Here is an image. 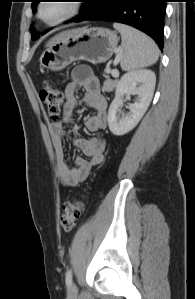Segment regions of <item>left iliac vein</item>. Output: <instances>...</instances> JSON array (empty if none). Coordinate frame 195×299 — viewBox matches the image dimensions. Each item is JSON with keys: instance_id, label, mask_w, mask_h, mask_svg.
<instances>
[{"instance_id": "left-iliac-vein-1", "label": "left iliac vein", "mask_w": 195, "mask_h": 299, "mask_svg": "<svg viewBox=\"0 0 195 299\" xmlns=\"http://www.w3.org/2000/svg\"><path fill=\"white\" fill-rule=\"evenodd\" d=\"M77 287L74 283H71L70 286L68 287V295L69 296H75L77 295Z\"/></svg>"}]
</instances>
